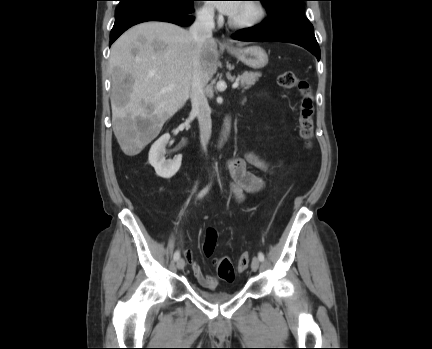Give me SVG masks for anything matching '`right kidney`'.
Returning a JSON list of instances; mask_svg holds the SVG:
<instances>
[{
	"label": "right kidney",
	"instance_id": "ca27d5eb",
	"mask_svg": "<svg viewBox=\"0 0 432 349\" xmlns=\"http://www.w3.org/2000/svg\"><path fill=\"white\" fill-rule=\"evenodd\" d=\"M170 139V135H162L150 148L149 163L154 167L159 177L169 179L173 177L181 166L182 156L178 155L173 160L165 159V147Z\"/></svg>",
	"mask_w": 432,
	"mask_h": 349
}]
</instances>
